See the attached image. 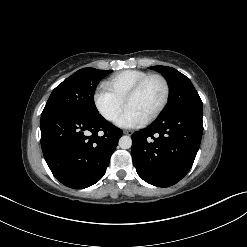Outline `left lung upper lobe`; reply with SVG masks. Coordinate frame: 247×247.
<instances>
[{
  "mask_svg": "<svg viewBox=\"0 0 247 247\" xmlns=\"http://www.w3.org/2000/svg\"><path fill=\"white\" fill-rule=\"evenodd\" d=\"M150 69L162 73L170 87L169 102L160 117L179 109L202 108L196 89L184 74L167 66H153Z\"/></svg>",
  "mask_w": 247,
  "mask_h": 247,
  "instance_id": "1",
  "label": "left lung upper lobe"
}]
</instances>
